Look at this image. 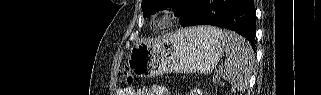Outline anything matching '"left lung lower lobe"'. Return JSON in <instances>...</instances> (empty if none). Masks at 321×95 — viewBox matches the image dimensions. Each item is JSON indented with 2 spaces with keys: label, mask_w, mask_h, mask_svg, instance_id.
<instances>
[{
  "label": "left lung lower lobe",
  "mask_w": 321,
  "mask_h": 95,
  "mask_svg": "<svg viewBox=\"0 0 321 95\" xmlns=\"http://www.w3.org/2000/svg\"><path fill=\"white\" fill-rule=\"evenodd\" d=\"M178 15L183 27L213 25L230 29L255 47L254 0H189Z\"/></svg>",
  "instance_id": "0a47b994"
}]
</instances>
